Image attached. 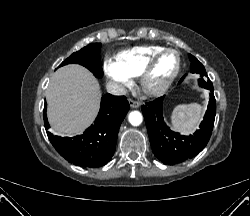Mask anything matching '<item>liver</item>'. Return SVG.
I'll return each instance as SVG.
<instances>
[{
  "instance_id": "1",
  "label": "liver",
  "mask_w": 250,
  "mask_h": 216,
  "mask_svg": "<svg viewBox=\"0 0 250 216\" xmlns=\"http://www.w3.org/2000/svg\"><path fill=\"white\" fill-rule=\"evenodd\" d=\"M46 100L52 130L58 135H77L89 126L98 112V81L83 66L61 67L50 80Z\"/></svg>"
}]
</instances>
